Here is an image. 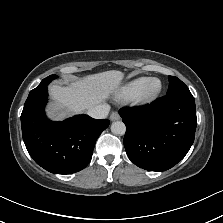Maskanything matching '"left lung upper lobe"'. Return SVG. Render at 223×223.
<instances>
[{
    "label": "left lung upper lobe",
    "instance_id": "5c2ea615",
    "mask_svg": "<svg viewBox=\"0 0 223 223\" xmlns=\"http://www.w3.org/2000/svg\"><path fill=\"white\" fill-rule=\"evenodd\" d=\"M168 79L169 88L166 95L192 97V94L188 87L179 78L175 76H168Z\"/></svg>",
    "mask_w": 223,
    "mask_h": 223
}]
</instances>
